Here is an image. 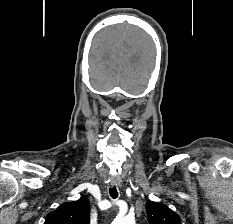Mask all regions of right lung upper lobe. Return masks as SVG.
<instances>
[{
	"mask_svg": "<svg viewBox=\"0 0 233 224\" xmlns=\"http://www.w3.org/2000/svg\"><path fill=\"white\" fill-rule=\"evenodd\" d=\"M44 224H90V203L87 198L61 204L50 212Z\"/></svg>",
	"mask_w": 233,
	"mask_h": 224,
	"instance_id": "cb5924a9",
	"label": "right lung upper lobe"
}]
</instances>
